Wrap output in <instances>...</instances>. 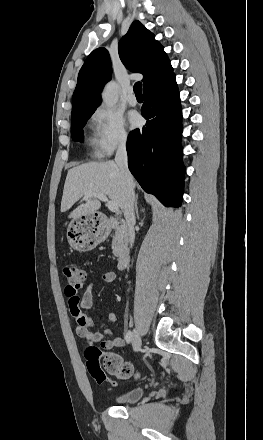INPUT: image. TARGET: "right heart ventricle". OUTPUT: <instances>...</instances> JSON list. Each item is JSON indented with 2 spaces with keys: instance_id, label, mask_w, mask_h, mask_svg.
Here are the masks:
<instances>
[{
  "instance_id": "right-heart-ventricle-1",
  "label": "right heart ventricle",
  "mask_w": 263,
  "mask_h": 440,
  "mask_svg": "<svg viewBox=\"0 0 263 440\" xmlns=\"http://www.w3.org/2000/svg\"><path fill=\"white\" fill-rule=\"evenodd\" d=\"M89 143H90L91 145H94V146H95V144H94V139H90Z\"/></svg>"
}]
</instances>
